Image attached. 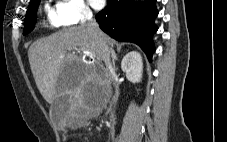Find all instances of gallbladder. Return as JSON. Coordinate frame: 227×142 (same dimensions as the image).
<instances>
[{
    "mask_svg": "<svg viewBox=\"0 0 227 142\" xmlns=\"http://www.w3.org/2000/svg\"><path fill=\"white\" fill-rule=\"evenodd\" d=\"M73 108L72 94L61 93L60 97H57L51 104L50 114L56 123H62L65 120L67 113L73 112Z\"/></svg>",
    "mask_w": 227,
    "mask_h": 142,
    "instance_id": "bac80fb5",
    "label": "gallbladder"
}]
</instances>
